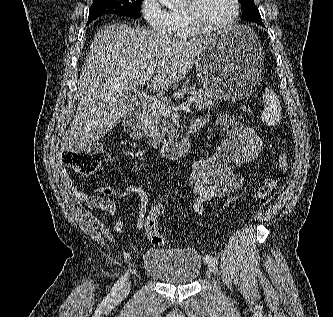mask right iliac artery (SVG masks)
<instances>
[{
    "instance_id": "82829eb1",
    "label": "right iliac artery",
    "mask_w": 333,
    "mask_h": 317,
    "mask_svg": "<svg viewBox=\"0 0 333 317\" xmlns=\"http://www.w3.org/2000/svg\"><path fill=\"white\" fill-rule=\"evenodd\" d=\"M128 273H126L124 276H122L113 286L112 293L116 294L123 286V284L126 281Z\"/></svg>"
}]
</instances>
